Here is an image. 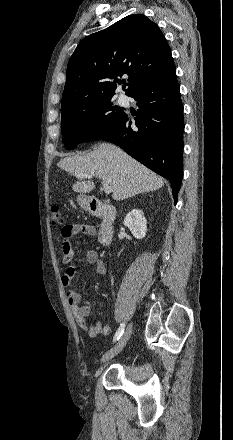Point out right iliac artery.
<instances>
[{
  "label": "right iliac artery",
  "mask_w": 233,
  "mask_h": 440,
  "mask_svg": "<svg viewBox=\"0 0 233 440\" xmlns=\"http://www.w3.org/2000/svg\"><path fill=\"white\" fill-rule=\"evenodd\" d=\"M124 328H125V324L122 323L114 335V339H113L114 342L120 339V337L124 333Z\"/></svg>",
  "instance_id": "right-iliac-artery-1"
}]
</instances>
